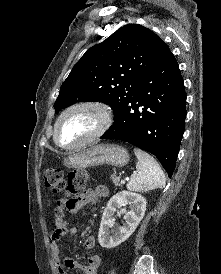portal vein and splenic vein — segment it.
Masks as SVG:
<instances>
[{
    "mask_svg": "<svg viewBox=\"0 0 221 274\" xmlns=\"http://www.w3.org/2000/svg\"><path fill=\"white\" fill-rule=\"evenodd\" d=\"M121 183L124 184V183H125V180H121Z\"/></svg>",
    "mask_w": 221,
    "mask_h": 274,
    "instance_id": "18ae733b",
    "label": "portal vein and splenic vein"
}]
</instances>
